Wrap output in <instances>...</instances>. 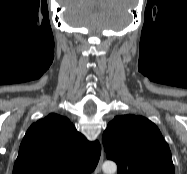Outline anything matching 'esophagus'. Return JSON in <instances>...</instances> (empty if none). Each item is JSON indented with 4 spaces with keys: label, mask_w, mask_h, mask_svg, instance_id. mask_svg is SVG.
I'll list each match as a JSON object with an SVG mask.
<instances>
[{
    "label": "esophagus",
    "mask_w": 187,
    "mask_h": 174,
    "mask_svg": "<svg viewBox=\"0 0 187 174\" xmlns=\"http://www.w3.org/2000/svg\"><path fill=\"white\" fill-rule=\"evenodd\" d=\"M103 159H104V151H103V147H102L101 155H100L97 167L95 169V173L96 174H100L101 173Z\"/></svg>",
    "instance_id": "esophagus-1"
}]
</instances>
